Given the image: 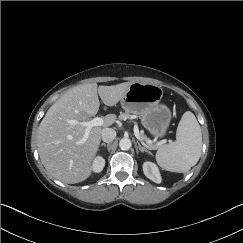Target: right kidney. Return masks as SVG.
I'll return each mask as SVG.
<instances>
[{"label": "right kidney", "mask_w": 243, "mask_h": 243, "mask_svg": "<svg viewBox=\"0 0 243 243\" xmlns=\"http://www.w3.org/2000/svg\"><path fill=\"white\" fill-rule=\"evenodd\" d=\"M105 166V160L101 156L96 157L92 163V170L96 173H100Z\"/></svg>", "instance_id": "ca27d5eb"}]
</instances>
